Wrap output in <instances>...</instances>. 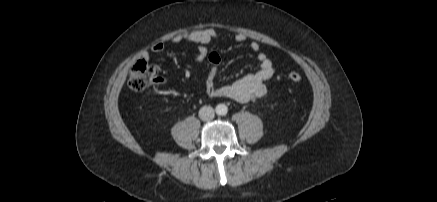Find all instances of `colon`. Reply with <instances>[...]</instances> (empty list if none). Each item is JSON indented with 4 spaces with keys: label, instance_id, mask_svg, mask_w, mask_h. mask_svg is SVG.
<instances>
[{
    "label": "colon",
    "instance_id": "colon-1",
    "mask_svg": "<svg viewBox=\"0 0 437 202\" xmlns=\"http://www.w3.org/2000/svg\"><path fill=\"white\" fill-rule=\"evenodd\" d=\"M287 78L291 82H299L301 75L296 71H292L288 73ZM160 81L161 77L158 66L149 64L142 59L133 65L129 75L128 86L134 92H141Z\"/></svg>",
    "mask_w": 437,
    "mask_h": 202
}]
</instances>
